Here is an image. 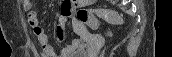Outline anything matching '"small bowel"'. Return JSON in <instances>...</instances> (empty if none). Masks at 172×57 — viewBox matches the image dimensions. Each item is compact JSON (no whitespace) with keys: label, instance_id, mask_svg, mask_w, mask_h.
<instances>
[{"label":"small bowel","instance_id":"small-bowel-1","mask_svg":"<svg viewBox=\"0 0 172 57\" xmlns=\"http://www.w3.org/2000/svg\"><path fill=\"white\" fill-rule=\"evenodd\" d=\"M73 4H79V2H68L62 6V11L58 17V24L55 30V39L57 42H62L65 38L67 17L69 16L68 13ZM23 6L24 9L28 11V24L37 39L39 48L44 57H69L70 55L84 49L82 41L79 38H74L70 44L64 46L61 51L57 53L50 45L49 37L39 22L38 13L40 6H34L33 3L28 0L23 2Z\"/></svg>","mask_w":172,"mask_h":57}]
</instances>
